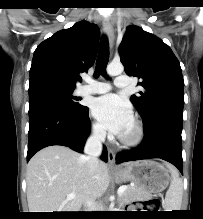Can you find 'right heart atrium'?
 Segmentation results:
<instances>
[{
    "mask_svg": "<svg viewBox=\"0 0 203 219\" xmlns=\"http://www.w3.org/2000/svg\"><path fill=\"white\" fill-rule=\"evenodd\" d=\"M104 135V130L100 124L94 122L91 125V136L94 139H101Z\"/></svg>",
    "mask_w": 203,
    "mask_h": 219,
    "instance_id": "1",
    "label": "right heart atrium"
}]
</instances>
